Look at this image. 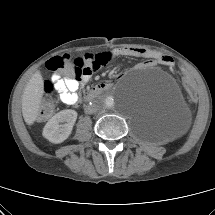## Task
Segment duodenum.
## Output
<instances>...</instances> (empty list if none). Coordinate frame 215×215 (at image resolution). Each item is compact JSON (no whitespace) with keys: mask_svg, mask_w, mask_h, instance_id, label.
I'll return each instance as SVG.
<instances>
[{"mask_svg":"<svg viewBox=\"0 0 215 215\" xmlns=\"http://www.w3.org/2000/svg\"><path fill=\"white\" fill-rule=\"evenodd\" d=\"M111 88V84L108 82H101L99 84H97L96 86H94L86 95L84 100L86 102H89L91 100H93L95 97H97L98 95H100L101 93H104L106 91H108Z\"/></svg>","mask_w":215,"mask_h":215,"instance_id":"410a0bca","label":"duodenum"}]
</instances>
